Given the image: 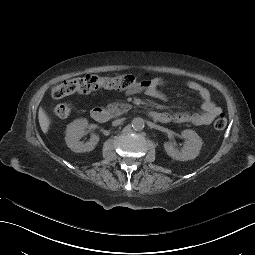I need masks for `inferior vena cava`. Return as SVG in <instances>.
I'll use <instances>...</instances> for the list:
<instances>
[{"label":"inferior vena cava","mask_w":255,"mask_h":255,"mask_svg":"<svg viewBox=\"0 0 255 255\" xmlns=\"http://www.w3.org/2000/svg\"><path fill=\"white\" fill-rule=\"evenodd\" d=\"M123 122H124V119H117V120L112 122V125L117 126V125L122 124Z\"/></svg>","instance_id":"1"}]
</instances>
